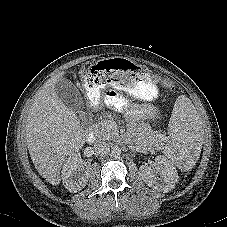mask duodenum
<instances>
[{"label":"duodenum","instance_id":"duodenum-1","mask_svg":"<svg viewBox=\"0 0 227 227\" xmlns=\"http://www.w3.org/2000/svg\"><path fill=\"white\" fill-rule=\"evenodd\" d=\"M85 137H86V141L89 144H93L96 140V131L94 129V127L90 126L85 133Z\"/></svg>","mask_w":227,"mask_h":227}]
</instances>
